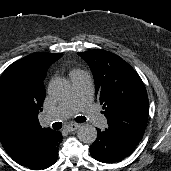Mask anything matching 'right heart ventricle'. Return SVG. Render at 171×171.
Instances as JSON below:
<instances>
[{"mask_svg": "<svg viewBox=\"0 0 171 171\" xmlns=\"http://www.w3.org/2000/svg\"><path fill=\"white\" fill-rule=\"evenodd\" d=\"M80 72L79 70H73L70 75Z\"/></svg>", "mask_w": 171, "mask_h": 171, "instance_id": "e07e8e85", "label": "right heart ventricle"}]
</instances>
